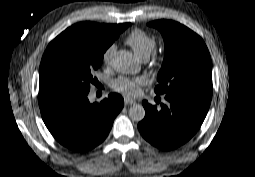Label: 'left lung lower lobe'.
Listing matches in <instances>:
<instances>
[{
    "label": "left lung lower lobe",
    "mask_w": 255,
    "mask_h": 177,
    "mask_svg": "<svg viewBox=\"0 0 255 177\" xmlns=\"http://www.w3.org/2000/svg\"><path fill=\"white\" fill-rule=\"evenodd\" d=\"M161 108L143 101L145 118L138 124L141 135L152 145L171 150L187 142L200 128L208 112L212 90L185 89L166 94Z\"/></svg>",
    "instance_id": "left-lung-lower-lobe-1"
}]
</instances>
